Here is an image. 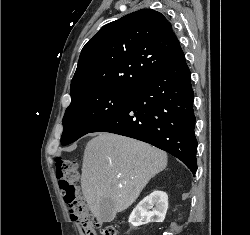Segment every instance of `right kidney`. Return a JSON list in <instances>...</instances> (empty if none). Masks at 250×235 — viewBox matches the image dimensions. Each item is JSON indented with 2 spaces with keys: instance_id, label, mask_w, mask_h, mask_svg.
Listing matches in <instances>:
<instances>
[{
  "instance_id": "ca27d5eb",
  "label": "right kidney",
  "mask_w": 250,
  "mask_h": 235,
  "mask_svg": "<svg viewBox=\"0 0 250 235\" xmlns=\"http://www.w3.org/2000/svg\"><path fill=\"white\" fill-rule=\"evenodd\" d=\"M168 209V195L156 190L149 196H146L133 209L129 223L134 226H140L149 222H163Z\"/></svg>"
}]
</instances>
